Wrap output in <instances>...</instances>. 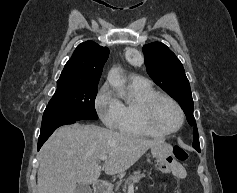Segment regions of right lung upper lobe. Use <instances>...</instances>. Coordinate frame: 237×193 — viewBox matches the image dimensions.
<instances>
[{
	"label": "right lung upper lobe",
	"instance_id": "1",
	"mask_svg": "<svg viewBox=\"0 0 237 193\" xmlns=\"http://www.w3.org/2000/svg\"><path fill=\"white\" fill-rule=\"evenodd\" d=\"M108 56L107 47H102L94 41L81 43L64 66L59 80L98 84Z\"/></svg>",
	"mask_w": 237,
	"mask_h": 193
}]
</instances>
